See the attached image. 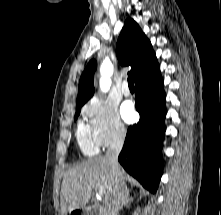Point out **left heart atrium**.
<instances>
[{"instance_id":"obj_1","label":"left heart atrium","mask_w":221,"mask_h":215,"mask_svg":"<svg viewBox=\"0 0 221 215\" xmlns=\"http://www.w3.org/2000/svg\"><path fill=\"white\" fill-rule=\"evenodd\" d=\"M121 114L125 121L131 122L135 117L133 105L130 102H126L122 105Z\"/></svg>"}]
</instances>
